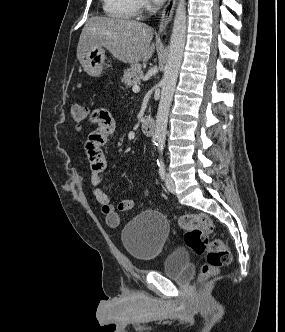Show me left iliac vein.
I'll list each match as a JSON object with an SVG mask.
<instances>
[{
  "mask_svg": "<svg viewBox=\"0 0 285 332\" xmlns=\"http://www.w3.org/2000/svg\"><path fill=\"white\" fill-rule=\"evenodd\" d=\"M165 185L169 192H171V193L175 192V183L169 174H166V176H165Z\"/></svg>",
  "mask_w": 285,
  "mask_h": 332,
  "instance_id": "obj_1",
  "label": "left iliac vein"
}]
</instances>
